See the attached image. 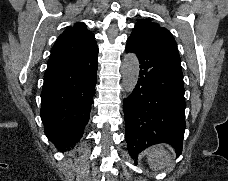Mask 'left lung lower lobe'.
Returning a JSON list of instances; mask_svg holds the SVG:
<instances>
[{
  "mask_svg": "<svg viewBox=\"0 0 228 181\" xmlns=\"http://www.w3.org/2000/svg\"><path fill=\"white\" fill-rule=\"evenodd\" d=\"M126 52L140 63L137 85L123 105L129 154L136 159L145 148L168 143L179 156L186 128L180 58L129 38Z\"/></svg>",
  "mask_w": 228,
  "mask_h": 181,
  "instance_id": "obj_1",
  "label": "left lung lower lobe"
}]
</instances>
